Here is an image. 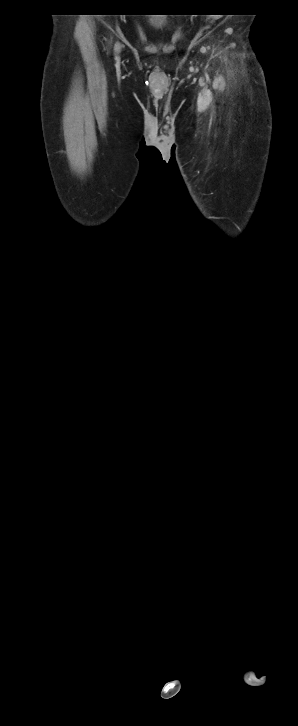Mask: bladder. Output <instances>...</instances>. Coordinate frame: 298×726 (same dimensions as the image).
Instances as JSON below:
<instances>
[{"mask_svg":"<svg viewBox=\"0 0 298 726\" xmlns=\"http://www.w3.org/2000/svg\"><path fill=\"white\" fill-rule=\"evenodd\" d=\"M148 23L153 28H161L167 24V20L164 18H157L150 20Z\"/></svg>","mask_w":298,"mask_h":726,"instance_id":"obj_1","label":"bladder"}]
</instances>
